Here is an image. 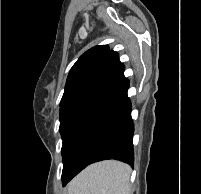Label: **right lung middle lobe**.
Wrapping results in <instances>:
<instances>
[{
	"mask_svg": "<svg viewBox=\"0 0 201 194\" xmlns=\"http://www.w3.org/2000/svg\"><path fill=\"white\" fill-rule=\"evenodd\" d=\"M90 101L89 99H81L60 106V133L62 138L77 113Z\"/></svg>",
	"mask_w": 201,
	"mask_h": 194,
	"instance_id": "right-lung-middle-lobe-1",
	"label": "right lung middle lobe"
}]
</instances>
